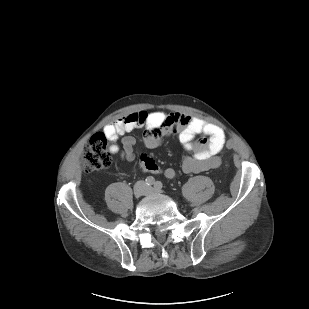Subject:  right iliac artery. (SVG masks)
I'll return each mask as SVG.
<instances>
[{"label": "right iliac artery", "mask_w": 309, "mask_h": 309, "mask_svg": "<svg viewBox=\"0 0 309 309\" xmlns=\"http://www.w3.org/2000/svg\"><path fill=\"white\" fill-rule=\"evenodd\" d=\"M145 181H146V184L149 186L155 183V179L152 176L147 177Z\"/></svg>", "instance_id": "1"}]
</instances>
